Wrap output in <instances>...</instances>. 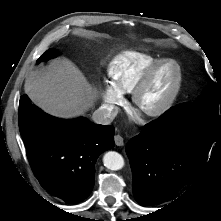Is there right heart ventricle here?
Masks as SVG:
<instances>
[{"label": "right heart ventricle", "mask_w": 221, "mask_h": 221, "mask_svg": "<svg viewBox=\"0 0 221 221\" xmlns=\"http://www.w3.org/2000/svg\"><path fill=\"white\" fill-rule=\"evenodd\" d=\"M157 60H159L157 57L136 51H127L118 55L108 68L111 84L121 93L132 92Z\"/></svg>", "instance_id": "e07e8e85"}]
</instances>
